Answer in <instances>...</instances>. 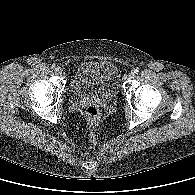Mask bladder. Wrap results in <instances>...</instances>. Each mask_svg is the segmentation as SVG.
Segmentation results:
<instances>
[{
	"label": "bladder",
	"mask_w": 195,
	"mask_h": 195,
	"mask_svg": "<svg viewBox=\"0 0 195 195\" xmlns=\"http://www.w3.org/2000/svg\"><path fill=\"white\" fill-rule=\"evenodd\" d=\"M120 89L117 66L106 60L81 63L71 81V92L77 97L115 98Z\"/></svg>",
	"instance_id": "bladder-1"
}]
</instances>
